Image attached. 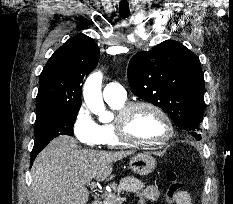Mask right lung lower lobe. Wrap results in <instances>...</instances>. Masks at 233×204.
Masks as SVG:
<instances>
[{
	"instance_id": "right-lung-lower-lobe-1",
	"label": "right lung lower lobe",
	"mask_w": 233,
	"mask_h": 204,
	"mask_svg": "<svg viewBox=\"0 0 233 204\" xmlns=\"http://www.w3.org/2000/svg\"><path fill=\"white\" fill-rule=\"evenodd\" d=\"M44 147H33L32 153H31V159L30 164H33L34 159L36 158L37 154L43 149Z\"/></svg>"
}]
</instances>
